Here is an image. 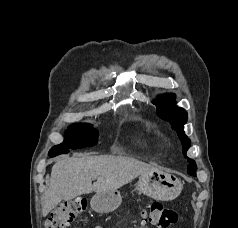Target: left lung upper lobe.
Wrapping results in <instances>:
<instances>
[{"label": "left lung upper lobe", "mask_w": 238, "mask_h": 228, "mask_svg": "<svg viewBox=\"0 0 238 228\" xmlns=\"http://www.w3.org/2000/svg\"><path fill=\"white\" fill-rule=\"evenodd\" d=\"M174 99L175 96L173 94H164L158 96L157 99L153 101V104L157 107V114L161 118L169 121L172 124V128L176 130L183 145V154L186 155V152L190 147V139L185 135L183 127L188 116L183 108L176 106ZM187 160L190 163L187 167V173L195 176V171L197 169L196 163L192 159L187 158Z\"/></svg>", "instance_id": "5c2ea615"}]
</instances>
